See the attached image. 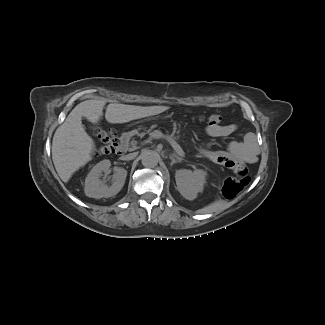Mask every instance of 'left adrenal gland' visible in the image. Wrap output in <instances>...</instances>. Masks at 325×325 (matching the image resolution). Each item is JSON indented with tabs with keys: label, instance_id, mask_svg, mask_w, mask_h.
Segmentation results:
<instances>
[{
	"label": "left adrenal gland",
	"instance_id": "left-adrenal-gland-1",
	"mask_svg": "<svg viewBox=\"0 0 325 325\" xmlns=\"http://www.w3.org/2000/svg\"><path fill=\"white\" fill-rule=\"evenodd\" d=\"M170 159H171V164H170L171 166L175 163H178V162H181L182 160H184L176 155H170Z\"/></svg>",
	"mask_w": 325,
	"mask_h": 325
}]
</instances>
